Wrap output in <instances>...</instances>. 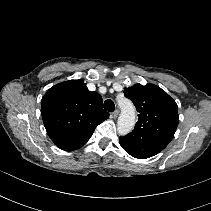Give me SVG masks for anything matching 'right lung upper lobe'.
Listing matches in <instances>:
<instances>
[{"label": "right lung upper lobe", "instance_id": "cb5924a9", "mask_svg": "<svg viewBox=\"0 0 211 211\" xmlns=\"http://www.w3.org/2000/svg\"><path fill=\"white\" fill-rule=\"evenodd\" d=\"M102 97L90 92L83 80H69L50 88L41 101L47 134L64 151L82 147L96 126L109 117Z\"/></svg>", "mask_w": 211, "mask_h": 211}]
</instances>
